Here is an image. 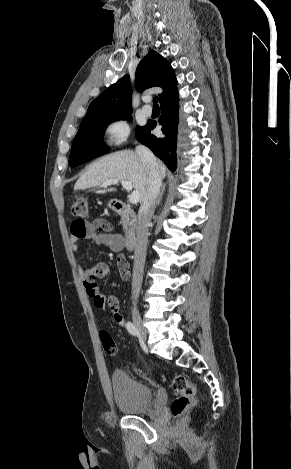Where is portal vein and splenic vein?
<instances>
[{
  "mask_svg": "<svg viewBox=\"0 0 291 469\" xmlns=\"http://www.w3.org/2000/svg\"><path fill=\"white\" fill-rule=\"evenodd\" d=\"M118 182L119 180L117 179L108 180L106 182H103L102 186L107 187L112 184H117ZM121 184L123 188H125L126 190L132 191L133 186L130 181H121ZM139 198H140V195L138 191H132L131 194L129 195V201L131 204H137L139 202Z\"/></svg>",
  "mask_w": 291,
  "mask_h": 469,
  "instance_id": "18ae733b",
  "label": "portal vein and splenic vein"
}]
</instances>
